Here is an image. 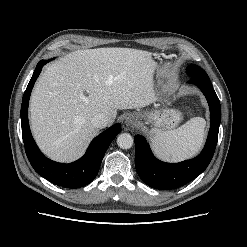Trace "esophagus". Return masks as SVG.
Instances as JSON below:
<instances>
[{
	"instance_id": "obj_1",
	"label": "esophagus",
	"mask_w": 247,
	"mask_h": 247,
	"mask_svg": "<svg viewBox=\"0 0 247 247\" xmlns=\"http://www.w3.org/2000/svg\"><path fill=\"white\" fill-rule=\"evenodd\" d=\"M137 124V116L136 115H128L125 117V125L127 127H132L135 126Z\"/></svg>"
}]
</instances>
